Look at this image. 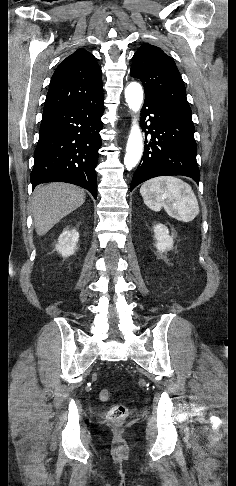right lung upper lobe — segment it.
Segmentation results:
<instances>
[{
	"label": "right lung upper lobe",
	"mask_w": 236,
	"mask_h": 486,
	"mask_svg": "<svg viewBox=\"0 0 236 486\" xmlns=\"http://www.w3.org/2000/svg\"><path fill=\"white\" fill-rule=\"evenodd\" d=\"M103 97L102 72L95 57L83 48L64 59L56 68L43 112Z\"/></svg>",
	"instance_id": "right-lung-upper-lobe-1"
}]
</instances>
